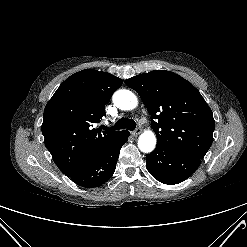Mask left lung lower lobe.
<instances>
[{
  "label": "left lung lower lobe",
  "mask_w": 247,
  "mask_h": 247,
  "mask_svg": "<svg viewBox=\"0 0 247 247\" xmlns=\"http://www.w3.org/2000/svg\"><path fill=\"white\" fill-rule=\"evenodd\" d=\"M201 164V159L158 145L146 156L149 173L164 184H178L189 178Z\"/></svg>",
  "instance_id": "1"
}]
</instances>
